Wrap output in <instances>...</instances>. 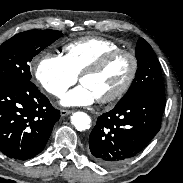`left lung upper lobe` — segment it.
Wrapping results in <instances>:
<instances>
[{
	"label": "left lung upper lobe",
	"mask_w": 183,
	"mask_h": 183,
	"mask_svg": "<svg viewBox=\"0 0 183 183\" xmlns=\"http://www.w3.org/2000/svg\"><path fill=\"white\" fill-rule=\"evenodd\" d=\"M135 54L138 63L136 76L119 102L140 94H164L160 63L151 46L143 38L138 40Z\"/></svg>",
	"instance_id": "obj_1"
}]
</instances>
